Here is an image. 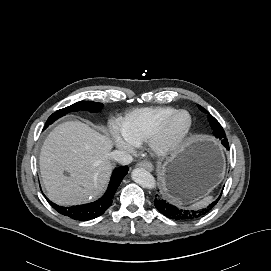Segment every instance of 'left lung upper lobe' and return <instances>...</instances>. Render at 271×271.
<instances>
[{
    "label": "left lung upper lobe",
    "instance_id": "5c2ea615",
    "mask_svg": "<svg viewBox=\"0 0 271 271\" xmlns=\"http://www.w3.org/2000/svg\"><path fill=\"white\" fill-rule=\"evenodd\" d=\"M199 109L203 112H206L207 111L200 105H198ZM208 119H209V122H210V125L213 129V133L215 135L216 138H224L225 137V132L222 128V126L220 125V123L211 115V114H208Z\"/></svg>",
    "mask_w": 271,
    "mask_h": 271
}]
</instances>
